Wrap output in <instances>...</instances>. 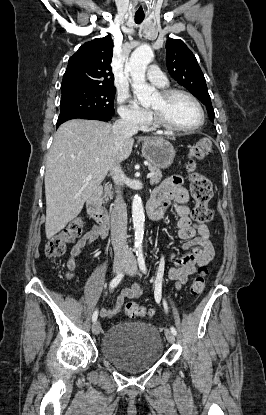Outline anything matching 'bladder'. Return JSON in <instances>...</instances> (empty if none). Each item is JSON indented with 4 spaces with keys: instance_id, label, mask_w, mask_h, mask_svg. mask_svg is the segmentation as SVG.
Listing matches in <instances>:
<instances>
[{
    "instance_id": "1",
    "label": "bladder",
    "mask_w": 266,
    "mask_h": 415,
    "mask_svg": "<svg viewBox=\"0 0 266 415\" xmlns=\"http://www.w3.org/2000/svg\"><path fill=\"white\" fill-rule=\"evenodd\" d=\"M159 331L145 323H117L104 334L102 355L117 368L128 373L145 371L163 356Z\"/></svg>"
}]
</instances>
